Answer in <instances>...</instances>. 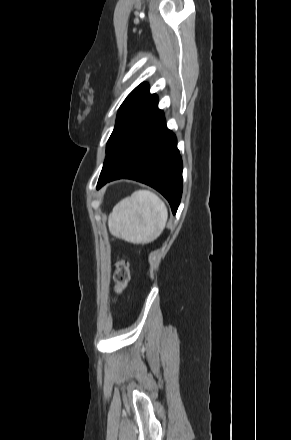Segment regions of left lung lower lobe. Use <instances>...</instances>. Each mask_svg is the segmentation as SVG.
<instances>
[{
  "label": "left lung lower lobe",
  "mask_w": 291,
  "mask_h": 440,
  "mask_svg": "<svg viewBox=\"0 0 291 440\" xmlns=\"http://www.w3.org/2000/svg\"><path fill=\"white\" fill-rule=\"evenodd\" d=\"M158 99L136 117L109 148L97 189L128 178L158 190L176 213L182 195V159Z\"/></svg>",
  "instance_id": "obj_1"
}]
</instances>
